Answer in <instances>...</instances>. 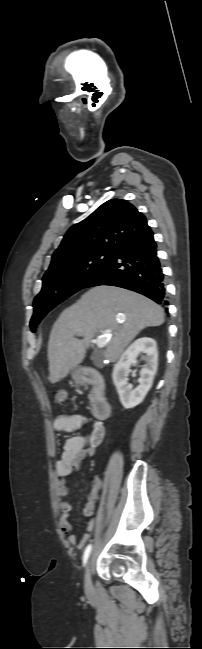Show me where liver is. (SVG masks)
I'll return each instance as SVG.
<instances>
[{
    "label": "liver",
    "mask_w": 202,
    "mask_h": 649,
    "mask_svg": "<svg viewBox=\"0 0 202 649\" xmlns=\"http://www.w3.org/2000/svg\"><path fill=\"white\" fill-rule=\"evenodd\" d=\"M163 323V309L139 293L114 286L88 290L53 325L47 351L50 383L59 382L83 361L96 333L109 334L104 357L114 362L139 331ZM76 334L83 339L74 338Z\"/></svg>",
    "instance_id": "6515ba94"
}]
</instances>
